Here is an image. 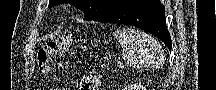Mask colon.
<instances>
[{
	"mask_svg": "<svg viewBox=\"0 0 216 90\" xmlns=\"http://www.w3.org/2000/svg\"><path fill=\"white\" fill-rule=\"evenodd\" d=\"M70 44V36L65 33L55 40L47 42L37 54L38 70L42 77H46L51 69V61L56 54L65 51Z\"/></svg>",
	"mask_w": 216,
	"mask_h": 90,
	"instance_id": "obj_1",
	"label": "colon"
}]
</instances>
